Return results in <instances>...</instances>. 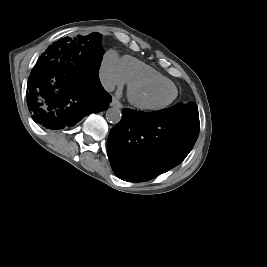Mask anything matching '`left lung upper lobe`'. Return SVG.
Wrapping results in <instances>:
<instances>
[{"instance_id":"1","label":"left lung upper lobe","mask_w":267,"mask_h":267,"mask_svg":"<svg viewBox=\"0 0 267 267\" xmlns=\"http://www.w3.org/2000/svg\"><path fill=\"white\" fill-rule=\"evenodd\" d=\"M181 105H182V104L179 103V104L176 105V106H181ZM186 106L191 107V108H194V109H198L197 106H196V104H194V103H190V104H188V105H186Z\"/></svg>"}]
</instances>
